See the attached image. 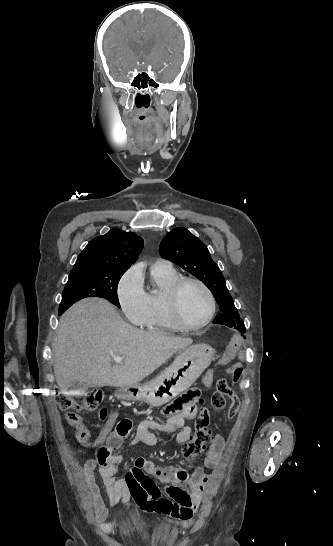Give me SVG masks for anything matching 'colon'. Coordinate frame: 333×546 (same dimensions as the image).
Listing matches in <instances>:
<instances>
[{"label": "colon", "mask_w": 333, "mask_h": 546, "mask_svg": "<svg viewBox=\"0 0 333 546\" xmlns=\"http://www.w3.org/2000/svg\"><path fill=\"white\" fill-rule=\"evenodd\" d=\"M231 344V342H230ZM239 348V344H238ZM246 369L241 365V361L234 362V365L227 368V373L232 375L230 382L232 385L237 386L241 380L245 377ZM101 392L87 393L81 401H77L67 395L58 396V404L62 410H70L66 413L67 423L77 430V433L81 435L85 434L87 429L83 423L82 417L78 411L81 409L94 410L102 401ZM196 398L195 392H188L175 402L176 406L182 407L187 405H193V401ZM229 398L233 403L237 402V396L235 395L229 382L224 379H218L216 383V391L211 396V405L216 410H222L226 406V399ZM197 416L195 419V432L190 440L184 445L182 453L185 459L188 461H194L198 455H200L206 448L209 442L212 440L209 425L210 414L208 409L203 405L202 400L197 401ZM107 415V411L103 408L100 411V418L104 419ZM117 429L121 432L127 430L126 426L118 424ZM110 454V448L106 444H102L97 448L96 457L105 458Z\"/></svg>", "instance_id": "colon-1"}]
</instances>
